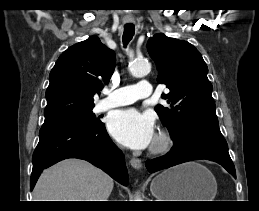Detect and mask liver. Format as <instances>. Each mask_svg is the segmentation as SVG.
Masks as SVG:
<instances>
[{
	"instance_id": "liver-1",
	"label": "liver",
	"mask_w": 259,
	"mask_h": 211,
	"mask_svg": "<svg viewBox=\"0 0 259 211\" xmlns=\"http://www.w3.org/2000/svg\"><path fill=\"white\" fill-rule=\"evenodd\" d=\"M113 179L87 161L63 160L44 170L34 191V201H108Z\"/></svg>"
}]
</instances>
